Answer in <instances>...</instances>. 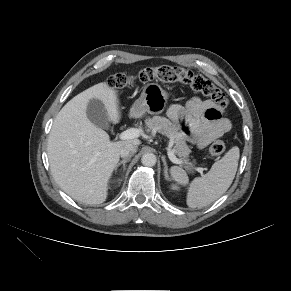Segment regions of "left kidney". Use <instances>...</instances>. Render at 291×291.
<instances>
[{
	"mask_svg": "<svg viewBox=\"0 0 291 291\" xmlns=\"http://www.w3.org/2000/svg\"><path fill=\"white\" fill-rule=\"evenodd\" d=\"M172 188H173V189H177V187H176V186H172Z\"/></svg>",
	"mask_w": 291,
	"mask_h": 291,
	"instance_id": "obj_1",
	"label": "left kidney"
}]
</instances>
